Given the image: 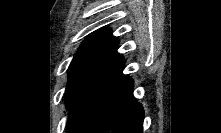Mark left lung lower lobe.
Listing matches in <instances>:
<instances>
[{
  "label": "left lung lower lobe",
  "mask_w": 221,
  "mask_h": 133,
  "mask_svg": "<svg viewBox=\"0 0 221 133\" xmlns=\"http://www.w3.org/2000/svg\"><path fill=\"white\" fill-rule=\"evenodd\" d=\"M123 59L91 82L69 108L68 133H142L144 111Z\"/></svg>",
  "instance_id": "obj_1"
}]
</instances>
